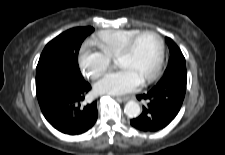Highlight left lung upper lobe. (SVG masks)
Instances as JSON below:
<instances>
[{
	"label": "left lung upper lobe",
	"instance_id": "left-lung-upper-lobe-1",
	"mask_svg": "<svg viewBox=\"0 0 225 155\" xmlns=\"http://www.w3.org/2000/svg\"><path fill=\"white\" fill-rule=\"evenodd\" d=\"M170 50L169 67L167 68L164 76L160 81H178L186 85L187 83V71L185 58L179 49V47L173 42L172 39L166 38Z\"/></svg>",
	"mask_w": 225,
	"mask_h": 155
}]
</instances>
